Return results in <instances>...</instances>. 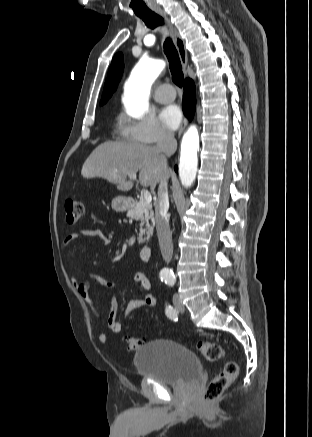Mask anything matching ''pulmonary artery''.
I'll use <instances>...</instances> for the list:
<instances>
[{"mask_svg": "<svg viewBox=\"0 0 312 437\" xmlns=\"http://www.w3.org/2000/svg\"><path fill=\"white\" fill-rule=\"evenodd\" d=\"M154 99L160 103H169L175 99V91L169 84L160 85L154 92Z\"/></svg>", "mask_w": 312, "mask_h": 437, "instance_id": "obj_1", "label": "pulmonary artery"}]
</instances>
